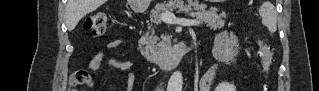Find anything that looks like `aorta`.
Instances as JSON below:
<instances>
[{
  "label": "aorta",
  "instance_id": "1",
  "mask_svg": "<svg viewBox=\"0 0 319 91\" xmlns=\"http://www.w3.org/2000/svg\"><path fill=\"white\" fill-rule=\"evenodd\" d=\"M183 85V77L181 72H174L168 82V89L170 91H181Z\"/></svg>",
  "mask_w": 319,
  "mask_h": 91
}]
</instances>
